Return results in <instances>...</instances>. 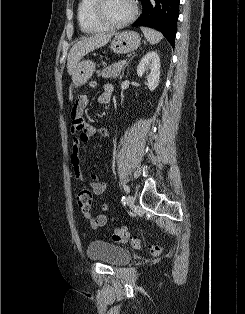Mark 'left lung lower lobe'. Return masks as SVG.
Wrapping results in <instances>:
<instances>
[{
	"mask_svg": "<svg viewBox=\"0 0 245 314\" xmlns=\"http://www.w3.org/2000/svg\"><path fill=\"white\" fill-rule=\"evenodd\" d=\"M180 0H141L143 11L133 25L159 30L174 46Z\"/></svg>",
	"mask_w": 245,
	"mask_h": 314,
	"instance_id": "1",
	"label": "left lung lower lobe"
}]
</instances>
